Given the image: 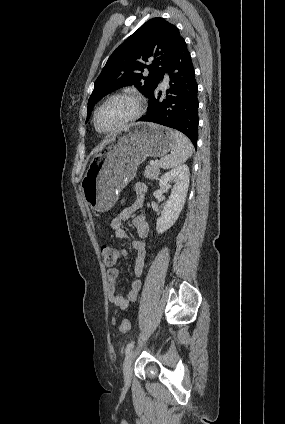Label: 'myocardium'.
I'll list each match as a JSON object with an SVG mask.
<instances>
[{"mask_svg": "<svg viewBox=\"0 0 285 424\" xmlns=\"http://www.w3.org/2000/svg\"><path fill=\"white\" fill-rule=\"evenodd\" d=\"M118 98H127V99H130L131 101H133V103L135 105L134 112L129 117H127L126 119H124L123 121H121L120 123H118L117 125H115L113 127H110L108 129H105V130L98 129L97 125H96V119H97L98 113L110 101H112L114 99H118ZM144 110H145V101H144V98L140 94H138L136 92H131V91L116 93V94H113V95L107 97L94 110V113H93V116H92V124H93L95 131L100 133V134H108V133L117 132V131H120L121 129L127 127L128 125L132 124L133 122L137 121L139 118H141V116L144 113Z\"/></svg>", "mask_w": 285, "mask_h": 424, "instance_id": "1", "label": "myocardium"}]
</instances>
